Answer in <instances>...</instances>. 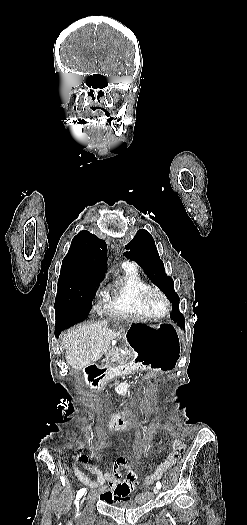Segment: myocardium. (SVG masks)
<instances>
[{
    "mask_svg": "<svg viewBox=\"0 0 247 525\" xmlns=\"http://www.w3.org/2000/svg\"><path fill=\"white\" fill-rule=\"evenodd\" d=\"M150 292H156L157 294H159L165 301L166 307L162 312H156L152 310L151 308H149L147 304H145L144 308L147 314L154 319H160V318L167 316L170 313L172 305L166 293L158 285L153 284V283H143L137 289L138 295L143 299H146V295Z\"/></svg>",
    "mask_w": 247,
    "mask_h": 525,
    "instance_id": "obj_1",
    "label": "myocardium"
}]
</instances>
